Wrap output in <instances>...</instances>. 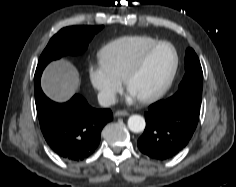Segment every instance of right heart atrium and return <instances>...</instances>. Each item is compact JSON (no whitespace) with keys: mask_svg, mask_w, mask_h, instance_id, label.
<instances>
[{"mask_svg":"<svg viewBox=\"0 0 236 187\" xmlns=\"http://www.w3.org/2000/svg\"><path fill=\"white\" fill-rule=\"evenodd\" d=\"M88 77L103 103L112 104L115 102L117 93L122 86L121 80L100 64H91L88 67Z\"/></svg>","mask_w":236,"mask_h":187,"instance_id":"obj_1","label":"right heart atrium"}]
</instances>
